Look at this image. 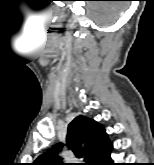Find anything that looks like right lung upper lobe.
<instances>
[{"label": "right lung upper lobe", "instance_id": "right-lung-upper-lobe-1", "mask_svg": "<svg viewBox=\"0 0 154 165\" xmlns=\"http://www.w3.org/2000/svg\"><path fill=\"white\" fill-rule=\"evenodd\" d=\"M108 140V135L102 125L84 116L76 117L68 125L66 145L80 158L86 157L91 165L97 157L102 145ZM63 144L55 145L48 152L39 156L33 165H65L57 155Z\"/></svg>", "mask_w": 154, "mask_h": 165}]
</instances>
